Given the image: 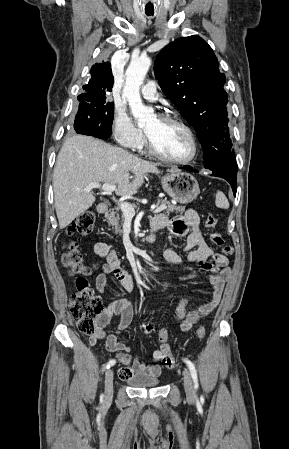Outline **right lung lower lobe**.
<instances>
[{"label": "right lung lower lobe", "instance_id": "1", "mask_svg": "<svg viewBox=\"0 0 289 449\" xmlns=\"http://www.w3.org/2000/svg\"><path fill=\"white\" fill-rule=\"evenodd\" d=\"M81 134L89 135V136H93V137H97V138H100V139H106V138H108V137H106V136H103V135H100V134H94V133H92V132H83V133H81Z\"/></svg>", "mask_w": 289, "mask_h": 449}]
</instances>
